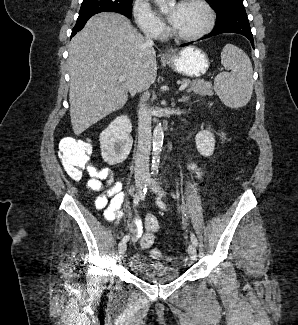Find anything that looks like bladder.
I'll return each mask as SVG.
<instances>
[{"instance_id":"1","label":"bladder","mask_w":298,"mask_h":325,"mask_svg":"<svg viewBox=\"0 0 298 325\" xmlns=\"http://www.w3.org/2000/svg\"><path fill=\"white\" fill-rule=\"evenodd\" d=\"M129 267L134 276L151 284L172 282L180 274L176 267L152 261L140 254L133 255L130 258Z\"/></svg>"}]
</instances>
